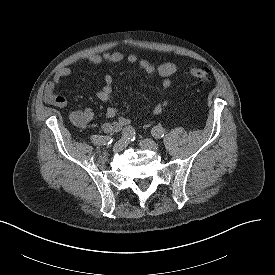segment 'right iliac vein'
<instances>
[{
	"label": "right iliac vein",
	"instance_id": "obj_1",
	"mask_svg": "<svg viewBox=\"0 0 275 275\" xmlns=\"http://www.w3.org/2000/svg\"><path fill=\"white\" fill-rule=\"evenodd\" d=\"M127 146V140L125 138H121L113 145L114 152H120Z\"/></svg>",
	"mask_w": 275,
	"mask_h": 275
}]
</instances>
